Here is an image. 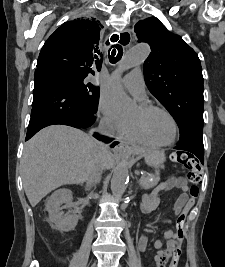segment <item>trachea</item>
I'll return each instance as SVG.
<instances>
[{
	"instance_id": "1",
	"label": "trachea",
	"mask_w": 225,
	"mask_h": 267,
	"mask_svg": "<svg viewBox=\"0 0 225 267\" xmlns=\"http://www.w3.org/2000/svg\"><path fill=\"white\" fill-rule=\"evenodd\" d=\"M125 37H128V39L130 40V36L128 34H122L121 39L119 40L121 44H124ZM118 39H119V36L114 35L113 42L118 41ZM111 48H113L112 51H111ZM111 48L109 50L108 57H109V61L114 64L121 59L123 55V49L121 45H113ZM110 51H111V55H110Z\"/></svg>"
}]
</instances>
